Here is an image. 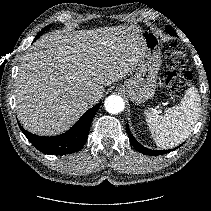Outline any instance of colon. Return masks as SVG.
<instances>
[{
	"label": "colon",
	"instance_id": "colon-1",
	"mask_svg": "<svg viewBox=\"0 0 211 211\" xmlns=\"http://www.w3.org/2000/svg\"><path fill=\"white\" fill-rule=\"evenodd\" d=\"M166 63L170 71L165 76V84L172 96L181 97L191 81V74L184 70L186 56L180 45L172 44L169 47Z\"/></svg>",
	"mask_w": 211,
	"mask_h": 211
}]
</instances>
